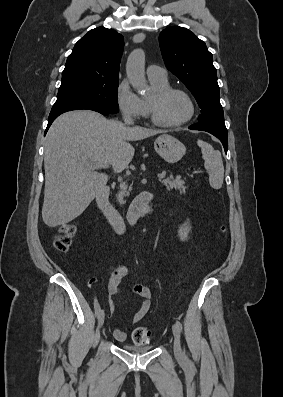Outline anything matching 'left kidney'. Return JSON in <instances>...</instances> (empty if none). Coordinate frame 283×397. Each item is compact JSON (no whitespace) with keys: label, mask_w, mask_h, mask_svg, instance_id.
<instances>
[{"label":"left kidney","mask_w":283,"mask_h":397,"mask_svg":"<svg viewBox=\"0 0 283 397\" xmlns=\"http://www.w3.org/2000/svg\"><path fill=\"white\" fill-rule=\"evenodd\" d=\"M191 231V224L190 220L187 219V221L182 224L179 229H178V235L180 237L181 241H186L188 239V234Z\"/></svg>","instance_id":"1"}]
</instances>
